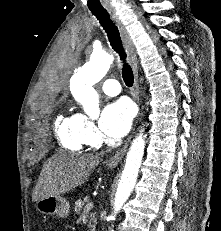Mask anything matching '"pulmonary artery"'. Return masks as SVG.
Instances as JSON below:
<instances>
[{
  "mask_svg": "<svg viewBox=\"0 0 221 231\" xmlns=\"http://www.w3.org/2000/svg\"><path fill=\"white\" fill-rule=\"evenodd\" d=\"M102 91L108 96H116L121 92V86L116 80H105L101 85Z\"/></svg>",
  "mask_w": 221,
  "mask_h": 231,
  "instance_id": "e3ab8cb5",
  "label": "pulmonary artery"
}]
</instances>
